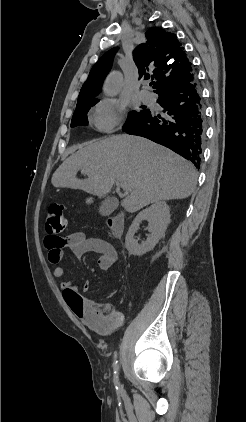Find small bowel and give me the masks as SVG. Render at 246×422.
I'll list each match as a JSON object with an SVG mask.
<instances>
[{"label":"small bowel","mask_w":246,"mask_h":422,"mask_svg":"<svg viewBox=\"0 0 246 422\" xmlns=\"http://www.w3.org/2000/svg\"><path fill=\"white\" fill-rule=\"evenodd\" d=\"M45 247L51 264L60 263L65 249H69L77 257L88 252L97 253L98 266L104 271L110 269L118 260V254L109 242L100 238L87 237L83 232L71 233L65 237L56 234L48 235L45 238ZM53 276L57 279L64 277V267L57 265L53 270ZM60 288L67 305L90 329L100 334H108L122 324L123 315L115 311L111 304H99L81 296L78 285L74 281H64ZM88 289L89 283L84 281L81 290L86 292Z\"/></svg>","instance_id":"c3829d8e"}]
</instances>
